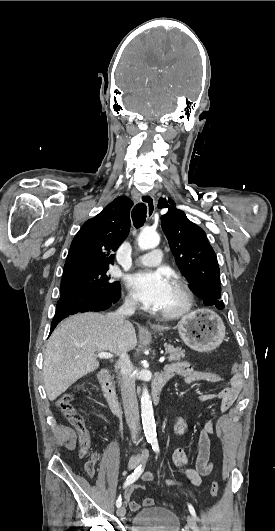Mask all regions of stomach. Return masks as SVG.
Instances as JSON below:
<instances>
[{
  "instance_id": "stomach-1",
  "label": "stomach",
  "mask_w": 275,
  "mask_h": 531,
  "mask_svg": "<svg viewBox=\"0 0 275 531\" xmlns=\"http://www.w3.org/2000/svg\"><path fill=\"white\" fill-rule=\"evenodd\" d=\"M156 331H166L168 327H152ZM180 339L187 347L199 353H209L221 345L225 337L224 323L214 311L210 309H196L182 317L177 325Z\"/></svg>"
}]
</instances>
